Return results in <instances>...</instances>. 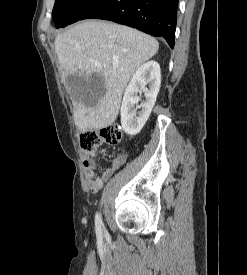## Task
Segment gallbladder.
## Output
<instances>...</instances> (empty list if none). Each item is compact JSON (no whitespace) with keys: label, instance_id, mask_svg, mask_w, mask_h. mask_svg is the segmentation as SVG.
I'll list each match as a JSON object with an SVG mask.
<instances>
[{"label":"gallbladder","instance_id":"1","mask_svg":"<svg viewBox=\"0 0 247 275\" xmlns=\"http://www.w3.org/2000/svg\"><path fill=\"white\" fill-rule=\"evenodd\" d=\"M65 84L67 88L85 103H88L93 94L97 92L104 93L103 79L97 73L88 75L79 72L68 75Z\"/></svg>","mask_w":247,"mask_h":275}]
</instances>
